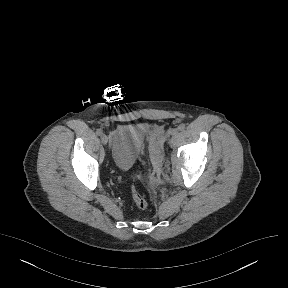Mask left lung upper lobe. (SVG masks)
I'll return each instance as SVG.
<instances>
[{"mask_svg": "<svg viewBox=\"0 0 288 288\" xmlns=\"http://www.w3.org/2000/svg\"><path fill=\"white\" fill-rule=\"evenodd\" d=\"M257 216H258L257 213H255V214H253L252 216H250L248 223H249V224L253 223V222L256 220Z\"/></svg>", "mask_w": 288, "mask_h": 288, "instance_id": "1", "label": "left lung upper lobe"}]
</instances>
